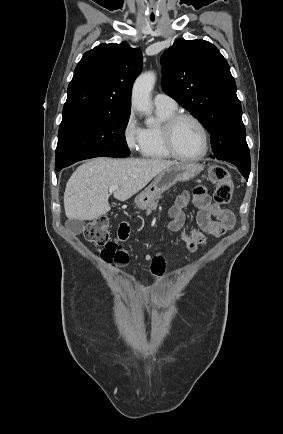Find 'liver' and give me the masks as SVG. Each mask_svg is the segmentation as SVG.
<instances>
[{"instance_id": "obj_1", "label": "liver", "mask_w": 283, "mask_h": 434, "mask_svg": "<svg viewBox=\"0 0 283 434\" xmlns=\"http://www.w3.org/2000/svg\"><path fill=\"white\" fill-rule=\"evenodd\" d=\"M177 164L159 159H113L98 157L80 165L69 178L64 209L69 220H93L110 211L108 190L119 188L114 197L126 201L155 176Z\"/></svg>"}]
</instances>
